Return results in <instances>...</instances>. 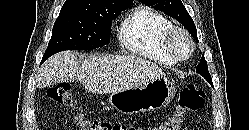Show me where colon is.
I'll return each instance as SVG.
<instances>
[{
  "label": "colon",
  "instance_id": "1",
  "mask_svg": "<svg viewBox=\"0 0 249 130\" xmlns=\"http://www.w3.org/2000/svg\"><path fill=\"white\" fill-rule=\"evenodd\" d=\"M47 97L61 105L72 108L74 121L79 130H180L184 116L189 112L200 110L205 101V93L194 84H187L179 93L176 109L164 122L152 127H141L127 124H114L110 122L90 119L75 107L71 93V86L67 83L53 85L47 89Z\"/></svg>",
  "mask_w": 249,
  "mask_h": 130
}]
</instances>
